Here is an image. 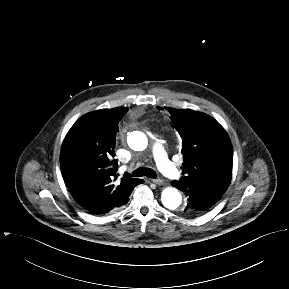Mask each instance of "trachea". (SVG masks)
Listing matches in <instances>:
<instances>
[{
	"instance_id": "3493384b",
	"label": "trachea",
	"mask_w": 289,
	"mask_h": 289,
	"mask_svg": "<svg viewBox=\"0 0 289 289\" xmlns=\"http://www.w3.org/2000/svg\"><path fill=\"white\" fill-rule=\"evenodd\" d=\"M134 177H142V176H146L149 178H156V172L151 169V168H144V167H139L137 168L133 174Z\"/></svg>"
}]
</instances>
